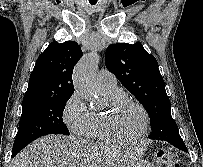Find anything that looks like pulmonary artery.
Returning a JSON list of instances; mask_svg holds the SVG:
<instances>
[{
  "mask_svg": "<svg viewBox=\"0 0 203 167\" xmlns=\"http://www.w3.org/2000/svg\"><path fill=\"white\" fill-rule=\"evenodd\" d=\"M97 84L101 88H114L117 86V78L110 71L102 69L97 74Z\"/></svg>",
  "mask_w": 203,
  "mask_h": 167,
  "instance_id": "e3ab8cb5",
  "label": "pulmonary artery"
}]
</instances>
